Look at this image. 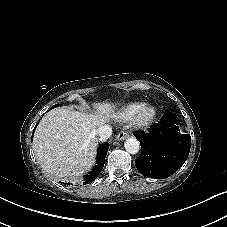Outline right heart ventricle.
Returning a JSON list of instances; mask_svg holds the SVG:
<instances>
[{"mask_svg":"<svg viewBox=\"0 0 227 227\" xmlns=\"http://www.w3.org/2000/svg\"><path fill=\"white\" fill-rule=\"evenodd\" d=\"M141 106L140 103H132L124 107L120 113V118L122 120L130 118L134 112Z\"/></svg>","mask_w":227,"mask_h":227,"instance_id":"1","label":"right heart ventricle"}]
</instances>
